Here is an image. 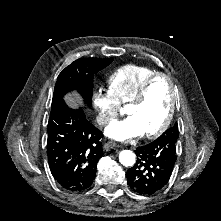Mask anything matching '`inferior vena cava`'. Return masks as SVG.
Here are the masks:
<instances>
[{
    "label": "inferior vena cava",
    "mask_w": 221,
    "mask_h": 221,
    "mask_svg": "<svg viewBox=\"0 0 221 221\" xmlns=\"http://www.w3.org/2000/svg\"><path fill=\"white\" fill-rule=\"evenodd\" d=\"M97 121H98L99 125H106L110 122V118L106 117V116H101L98 118Z\"/></svg>",
    "instance_id": "602c4592"
}]
</instances>
